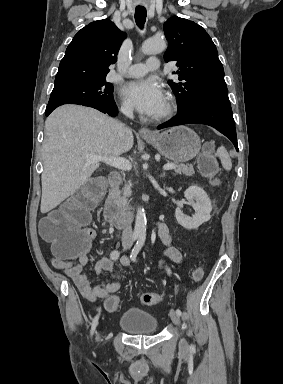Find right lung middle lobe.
Segmentation results:
<instances>
[{"label": "right lung middle lobe", "instance_id": "dd1d6c3e", "mask_svg": "<svg viewBox=\"0 0 283 384\" xmlns=\"http://www.w3.org/2000/svg\"><path fill=\"white\" fill-rule=\"evenodd\" d=\"M113 100V85L106 79H100L54 87L47 107H58L67 103H106Z\"/></svg>", "mask_w": 283, "mask_h": 384}]
</instances>
